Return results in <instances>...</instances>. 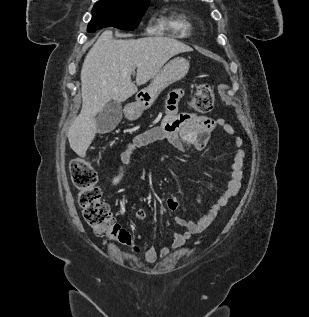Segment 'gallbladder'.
<instances>
[{
    "label": "gallbladder",
    "mask_w": 309,
    "mask_h": 317,
    "mask_svg": "<svg viewBox=\"0 0 309 317\" xmlns=\"http://www.w3.org/2000/svg\"><path fill=\"white\" fill-rule=\"evenodd\" d=\"M122 118V106L117 101L108 102L97 114L98 133H108L116 128Z\"/></svg>",
    "instance_id": "1"
}]
</instances>
